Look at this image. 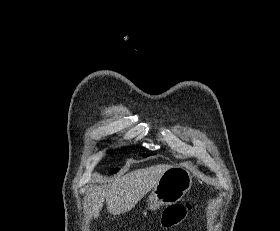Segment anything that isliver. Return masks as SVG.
<instances>
[{"mask_svg":"<svg viewBox=\"0 0 280 231\" xmlns=\"http://www.w3.org/2000/svg\"><path fill=\"white\" fill-rule=\"evenodd\" d=\"M170 167L172 165H167V163L150 165V167L135 169V171H129V173L117 177L107 187H92L87 199V209L90 215L98 217L103 207L104 197H106L108 209L113 215L129 211L144 197L145 193L155 187L162 173Z\"/></svg>","mask_w":280,"mask_h":231,"instance_id":"obj_1","label":"liver"}]
</instances>
